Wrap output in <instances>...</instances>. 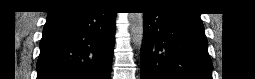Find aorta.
<instances>
[{"mask_svg": "<svg viewBox=\"0 0 255 79\" xmlns=\"http://www.w3.org/2000/svg\"><path fill=\"white\" fill-rule=\"evenodd\" d=\"M130 33L134 46L141 48L144 36L143 13H129Z\"/></svg>", "mask_w": 255, "mask_h": 79, "instance_id": "obj_1", "label": "aorta"}]
</instances>
